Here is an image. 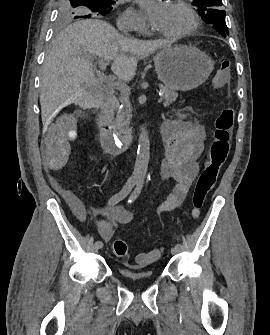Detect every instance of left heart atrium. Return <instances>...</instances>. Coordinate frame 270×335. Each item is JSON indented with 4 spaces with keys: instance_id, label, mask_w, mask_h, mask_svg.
Listing matches in <instances>:
<instances>
[{
    "instance_id": "1",
    "label": "left heart atrium",
    "mask_w": 270,
    "mask_h": 335,
    "mask_svg": "<svg viewBox=\"0 0 270 335\" xmlns=\"http://www.w3.org/2000/svg\"><path fill=\"white\" fill-rule=\"evenodd\" d=\"M140 6L153 33H169V22L174 10L172 6L154 0H141Z\"/></svg>"
}]
</instances>
